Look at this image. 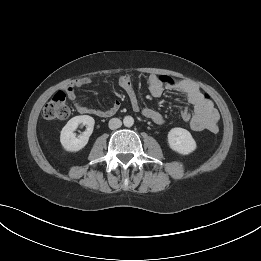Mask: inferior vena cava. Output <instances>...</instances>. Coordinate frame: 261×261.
Listing matches in <instances>:
<instances>
[{
  "label": "inferior vena cava",
  "mask_w": 261,
  "mask_h": 261,
  "mask_svg": "<svg viewBox=\"0 0 261 261\" xmlns=\"http://www.w3.org/2000/svg\"><path fill=\"white\" fill-rule=\"evenodd\" d=\"M121 125H122V122H121V120L118 119V118H112V119H110V121H109V128H110L111 130L118 129V128L121 127Z\"/></svg>",
  "instance_id": "inferior-vena-cava-1"
}]
</instances>
